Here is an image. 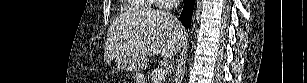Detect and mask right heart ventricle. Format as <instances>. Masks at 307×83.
Here are the masks:
<instances>
[{
	"instance_id": "right-heart-ventricle-1",
	"label": "right heart ventricle",
	"mask_w": 307,
	"mask_h": 83,
	"mask_svg": "<svg viewBox=\"0 0 307 83\" xmlns=\"http://www.w3.org/2000/svg\"><path fill=\"white\" fill-rule=\"evenodd\" d=\"M151 7L150 1L132 0V9H147Z\"/></svg>"
}]
</instances>
